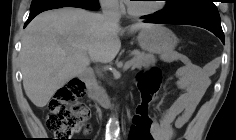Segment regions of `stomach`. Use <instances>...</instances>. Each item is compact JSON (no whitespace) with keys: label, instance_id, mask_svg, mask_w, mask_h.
Segmentation results:
<instances>
[{"label":"stomach","instance_id":"1","mask_svg":"<svg viewBox=\"0 0 236 140\" xmlns=\"http://www.w3.org/2000/svg\"><path fill=\"white\" fill-rule=\"evenodd\" d=\"M137 39L143 50L161 55L172 52L177 45L175 34L162 25L142 29Z\"/></svg>","mask_w":236,"mask_h":140}]
</instances>
